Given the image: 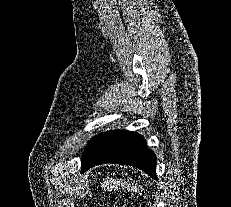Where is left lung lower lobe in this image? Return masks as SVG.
<instances>
[{
  "label": "left lung lower lobe",
  "instance_id": "left-lung-lower-lobe-1",
  "mask_svg": "<svg viewBox=\"0 0 231 207\" xmlns=\"http://www.w3.org/2000/svg\"><path fill=\"white\" fill-rule=\"evenodd\" d=\"M103 163L134 166L157 179L155 154L136 132L114 130L96 136L81 159V172Z\"/></svg>",
  "mask_w": 231,
  "mask_h": 207
}]
</instances>
